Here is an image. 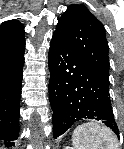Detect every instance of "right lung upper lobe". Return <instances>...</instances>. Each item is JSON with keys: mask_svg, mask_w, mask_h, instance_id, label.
<instances>
[{"mask_svg": "<svg viewBox=\"0 0 124 149\" xmlns=\"http://www.w3.org/2000/svg\"><path fill=\"white\" fill-rule=\"evenodd\" d=\"M24 39L23 26L16 20H9L0 26V44L15 43Z\"/></svg>", "mask_w": 124, "mask_h": 149, "instance_id": "1", "label": "right lung upper lobe"}]
</instances>
